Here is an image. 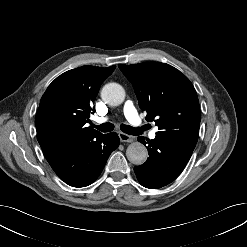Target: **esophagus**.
Returning <instances> with one entry per match:
<instances>
[{
    "instance_id": "obj_1",
    "label": "esophagus",
    "mask_w": 247,
    "mask_h": 247,
    "mask_svg": "<svg viewBox=\"0 0 247 247\" xmlns=\"http://www.w3.org/2000/svg\"><path fill=\"white\" fill-rule=\"evenodd\" d=\"M119 138L121 142H133L134 141V137L130 136L128 134H125L123 132H119Z\"/></svg>"
}]
</instances>
